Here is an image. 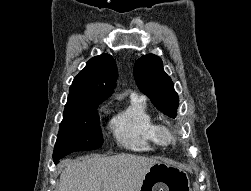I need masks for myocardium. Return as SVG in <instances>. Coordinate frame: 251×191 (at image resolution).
<instances>
[{
    "label": "myocardium",
    "instance_id": "f54148a6",
    "mask_svg": "<svg viewBox=\"0 0 251 191\" xmlns=\"http://www.w3.org/2000/svg\"><path fill=\"white\" fill-rule=\"evenodd\" d=\"M166 132H169L174 136V139L171 144H167L164 141L163 135ZM153 139L160 151H167L175 147L178 140L180 139V132L167 123H159L155 121L153 125Z\"/></svg>",
    "mask_w": 251,
    "mask_h": 191
}]
</instances>
